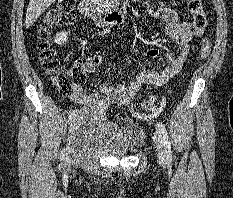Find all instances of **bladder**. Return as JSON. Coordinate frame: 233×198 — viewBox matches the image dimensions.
<instances>
[{
	"label": "bladder",
	"mask_w": 233,
	"mask_h": 198,
	"mask_svg": "<svg viewBox=\"0 0 233 198\" xmlns=\"http://www.w3.org/2000/svg\"><path fill=\"white\" fill-rule=\"evenodd\" d=\"M77 147L121 157L136 150L144 141V131L133 122L117 124L103 112L81 110L71 124Z\"/></svg>",
	"instance_id": "bladder-1"
}]
</instances>
